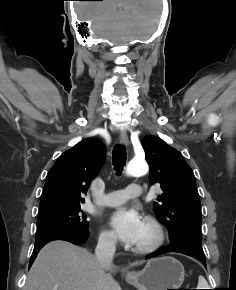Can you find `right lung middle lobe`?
<instances>
[{
  "instance_id": "1",
  "label": "right lung middle lobe",
  "mask_w": 236,
  "mask_h": 290,
  "mask_svg": "<svg viewBox=\"0 0 236 290\" xmlns=\"http://www.w3.org/2000/svg\"><path fill=\"white\" fill-rule=\"evenodd\" d=\"M88 222L80 205H63L39 210L36 239L55 233L87 232Z\"/></svg>"
}]
</instances>
